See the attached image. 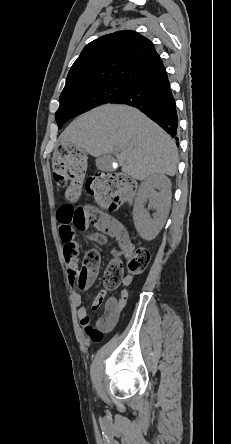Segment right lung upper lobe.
Wrapping results in <instances>:
<instances>
[{"instance_id":"obj_1","label":"right lung upper lobe","mask_w":231,"mask_h":444,"mask_svg":"<svg viewBox=\"0 0 231 444\" xmlns=\"http://www.w3.org/2000/svg\"><path fill=\"white\" fill-rule=\"evenodd\" d=\"M153 43L141 34L118 31L86 45L72 65L63 89L75 90L106 83L134 86L165 72Z\"/></svg>"}]
</instances>
